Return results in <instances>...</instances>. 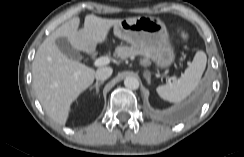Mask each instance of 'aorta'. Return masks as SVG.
I'll return each mask as SVG.
<instances>
[{
	"instance_id": "762f6f07",
	"label": "aorta",
	"mask_w": 244,
	"mask_h": 157,
	"mask_svg": "<svg viewBox=\"0 0 244 157\" xmlns=\"http://www.w3.org/2000/svg\"><path fill=\"white\" fill-rule=\"evenodd\" d=\"M124 85L128 89L136 90L139 88V80L134 76H128L124 79Z\"/></svg>"
}]
</instances>
